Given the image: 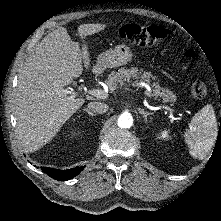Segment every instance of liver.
I'll return each mask as SVG.
<instances>
[{
    "mask_svg": "<svg viewBox=\"0 0 221 221\" xmlns=\"http://www.w3.org/2000/svg\"><path fill=\"white\" fill-rule=\"evenodd\" d=\"M106 28L105 24H81L77 28L83 41L73 42L66 28L46 35L27 58L18 76L14 98L17 131L25 149L38 150L50 141L61 126L84 104L65 87L90 68L85 38Z\"/></svg>",
    "mask_w": 221,
    "mask_h": 221,
    "instance_id": "6515ba94",
    "label": "liver"
}]
</instances>
